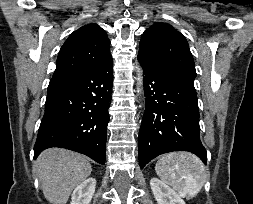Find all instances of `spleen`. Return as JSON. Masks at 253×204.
Masks as SVG:
<instances>
[{"instance_id":"3e777b00","label":"spleen","mask_w":253,"mask_h":204,"mask_svg":"<svg viewBox=\"0 0 253 204\" xmlns=\"http://www.w3.org/2000/svg\"><path fill=\"white\" fill-rule=\"evenodd\" d=\"M157 175L173 187L181 197H195L208 179V171L202 161L188 152L163 155L156 163Z\"/></svg>"}]
</instances>
